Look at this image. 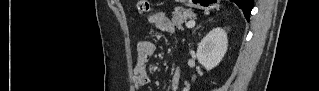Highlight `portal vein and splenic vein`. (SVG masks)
<instances>
[{
  "instance_id": "18ae733b",
  "label": "portal vein and splenic vein",
  "mask_w": 319,
  "mask_h": 91,
  "mask_svg": "<svg viewBox=\"0 0 319 91\" xmlns=\"http://www.w3.org/2000/svg\"><path fill=\"white\" fill-rule=\"evenodd\" d=\"M195 21L191 20L186 23L187 28H193L195 26Z\"/></svg>"
}]
</instances>
